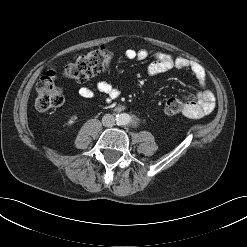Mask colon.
<instances>
[{
    "label": "colon",
    "instance_id": "obj_1",
    "mask_svg": "<svg viewBox=\"0 0 247 247\" xmlns=\"http://www.w3.org/2000/svg\"><path fill=\"white\" fill-rule=\"evenodd\" d=\"M111 59L112 54L108 49L104 47L94 49L79 55L65 67L63 74L69 79L83 82L106 70ZM63 102L64 96L56 84L55 73H46L36 85V108L39 111H46L61 106ZM185 109L186 104L175 98L168 99L164 107L165 113L171 116L183 113Z\"/></svg>",
    "mask_w": 247,
    "mask_h": 247
}]
</instances>
